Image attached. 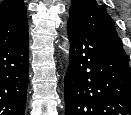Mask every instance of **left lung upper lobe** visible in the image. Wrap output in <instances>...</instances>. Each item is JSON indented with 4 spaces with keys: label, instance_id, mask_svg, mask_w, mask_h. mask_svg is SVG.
<instances>
[{
    "label": "left lung upper lobe",
    "instance_id": "5c2ea615",
    "mask_svg": "<svg viewBox=\"0 0 131 115\" xmlns=\"http://www.w3.org/2000/svg\"><path fill=\"white\" fill-rule=\"evenodd\" d=\"M69 20L87 29L105 43L114 53L128 61L112 18L103 5L95 0H71Z\"/></svg>",
    "mask_w": 131,
    "mask_h": 115
}]
</instances>
